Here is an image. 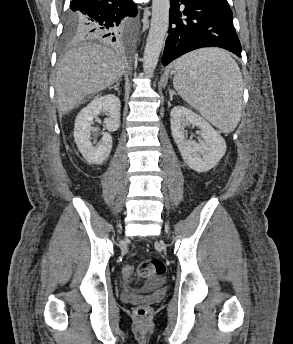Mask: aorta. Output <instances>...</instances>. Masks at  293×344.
I'll list each match as a JSON object with an SVG mask.
<instances>
[{
    "mask_svg": "<svg viewBox=\"0 0 293 344\" xmlns=\"http://www.w3.org/2000/svg\"><path fill=\"white\" fill-rule=\"evenodd\" d=\"M170 0H152V17L143 55V70L151 76L157 66L169 25Z\"/></svg>",
    "mask_w": 293,
    "mask_h": 344,
    "instance_id": "762f6f07",
    "label": "aorta"
}]
</instances>
